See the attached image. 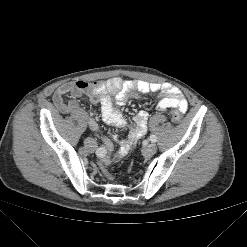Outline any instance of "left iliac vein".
Segmentation results:
<instances>
[{
	"mask_svg": "<svg viewBox=\"0 0 247 247\" xmlns=\"http://www.w3.org/2000/svg\"><path fill=\"white\" fill-rule=\"evenodd\" d=\"M157 151V146L155 143H151L143 148V154L145 156H151Z\"/></svg>",
	"mask_w": 247,
	"mask_h": 247,
	"instance_id": "4c4485c4",
	"label": "left iliac vein"
}]
</instances>
